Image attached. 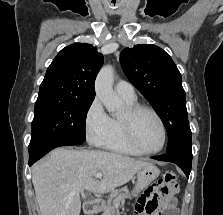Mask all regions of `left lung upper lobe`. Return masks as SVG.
<instances>
[{
	"label": "left lung upper lobe",
	"instance_id": "obj_1",
	"mask_svg": "<svg viewBox=\"0 0 223 215\" xmlns=\"http://www.w3.org/2000/svg\"><path fill=\"white\" fill-rule=\"evenodd\" d=\"M120 62L129 81L163 121L168 133L166 153L192 155L185 91L171 57L158 46L144 44L122 50Z\"/></svg>",
	"mask_w": 223,
	"mask_h": 215
}]
</instances>
